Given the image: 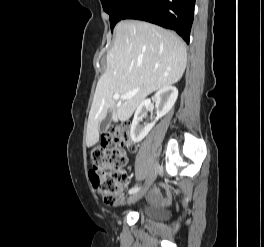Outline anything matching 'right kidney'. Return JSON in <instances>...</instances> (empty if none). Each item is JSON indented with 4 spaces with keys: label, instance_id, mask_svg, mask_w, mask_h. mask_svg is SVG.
Masks as SVG:
<instances>
[{
    "label": "right kidney",
    "instance_id": "obj_1",
    "mask_svg": "<svg viewBox=\"0 0 264 247\" xmlns=\"http://www.w3.org/2000/svg\"><path fill=\"white\" fill-rule=\"evenodd\" d=\"M178 97V90L174 86H167L162 89H160L155 94V101H156V118L155 120L150 123L142 126L140 122L142 121L146 111L150 107V100L143 101L137 108L134 118L131 124L130 129V136L131 139L138 143L142 141L147 134L150 132V130L153 128L155 123L162 118L164 115H166L174 106L176 100Z\"/></svg>",
    "mask_w": 264,
    "mask_h": 247
}]
</instances>
